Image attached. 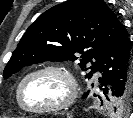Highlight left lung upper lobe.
Wrapping results in <instances>:
<instances>
[{"instance_id": "left-lung-upper-lobe-1", "label": "left lung upper lobe", "mask_w": 133, "mask_h": 118, "mask_svg": "<svg viewBox=\"0 0 133 118\" xmlns=\"http://www.w3.org/2000/svg\"><path fill=\"white\" fill-rule=\"evenodd\" d=\"M121 27V22L103 0H68L58 4L28 27L3 76L6 79L24 66L48 60L75 61L80 53L79 66L87 71L85 77L90 79L97 61ZM107 101L111 114H124L130 107L131 94L127 93L118 101L109 97Z\"/></svg>"}]
</instances>
